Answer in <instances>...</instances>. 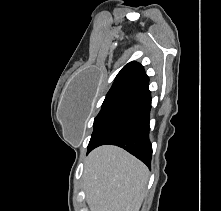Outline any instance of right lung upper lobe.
<instances>
[{
  "instance_id": "cb5924a9",
  "label": "right lung upper lobe",
  "mask_w": 221,
  "mask_h": 211,
  "mask_svg": "<svg viewBox=\"0 0 221 211\" xmlns=\"http://www.w3.org/2000/svg\"><path fill=\"white\" fill-rule=\"evenodd\" d=\"M148 85L149 78L143 66L137 62H130L118 73L109 92L118 90H133L139 92L148 87Z\"/></svg>"
}]
</instances>
